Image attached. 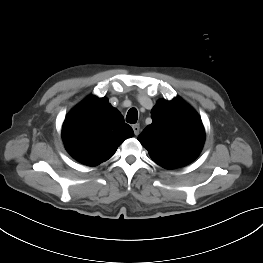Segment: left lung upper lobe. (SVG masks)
Masks as SVG:
<instances>
[{"instance_id":"left-lung-upper-lobe-1","label":"left lung upper lobe","mask_w":263,"mask_h":263,"mask_svg":"<svg viewBox=\"0 0 263 263\" xmlns=\"http://www.w3.org/2000/svg\"><path fill=\"white\" fill-rule=\"evenodd\" d=\"M152 124L138 136L151 159L173 169L197 158L204 144L205 131L196 111L181 98L159 100L151 111Z\"/></svg>"}]
</instances>
